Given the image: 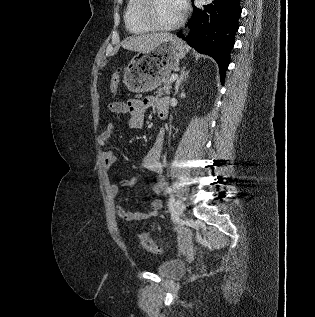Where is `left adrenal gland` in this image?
<instances>
[{"mask_svg": "<svg viewBox=\"0 0 315 317\" xmlns=\"http://www.w3.org/2000/svg\"><path fill=\"white\" fill-rule=\"evenodd\" d=\"M185 69H186V67H183V69L181 70V74L175 83L174 95H176L178 93V90H179V87H180L182 81H184V79H186V76L188 75V71H185Z\"/></svg>", "mask_w": 315, "mask_h": 317, "instance_id": "a2214340", "label": "left adrenal gland"}]
</instances>
